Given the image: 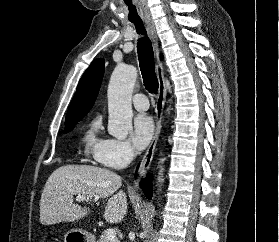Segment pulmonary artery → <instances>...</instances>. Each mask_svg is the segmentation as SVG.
<instances>
[{
  "label": "pulmonary artery",
  "mask_w": 279,
  "mask_h": 242,
  "mask_svg": "<svg viewBox=\"0 0 279 242\" xmlns=\"http://www.w3.org/2000/svg\"><path fill=\"white\" fill-rule=\"evenodd\" d=\"M133 105L137 110L144 111L149 108V101L146 95L142 93L135 94L132 98Z\"/></svg>",
  "instance_id": "pulmonary-artery-1"
}]
</instances>
